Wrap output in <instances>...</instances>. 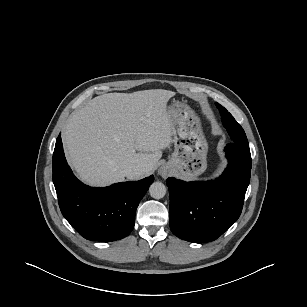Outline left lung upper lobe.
I'll return each mask as SVG.
<instances>
[{
	"instance_id": "1",
	"label": "left lung upper lobe",
	"mask_w": 307,
	"mask_h": 307,
	"mask_svg": "<svg viewBox=\"0 0 307 307\" xmlns=\"http://www.w3.org/2000/svg\"><path fill=\"white\" fill-rule=\"evenodd\" d=\"M220 111L223 126L227 129L234 143L240 144L245 148H249V143L243 128L233 118V116L220 104L216 103Z\"/></svg>"
}]
</instances>
